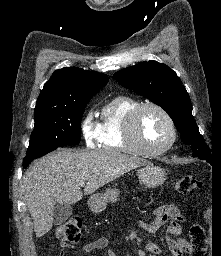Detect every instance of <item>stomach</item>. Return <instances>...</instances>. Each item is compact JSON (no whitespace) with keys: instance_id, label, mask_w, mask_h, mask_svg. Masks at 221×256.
I'll list each match as a JSON object with an SVG mask.
<instances>
[{"instance_id":"0dacf381","label":"stomach","mask_w":221,"mask_h":256,"mask_svg":"<svg viewBox=\"0 0 221 256\" xmlns=\"http://www.w3.org/2000/svg\"><path fill=\"white\" fill-rule=\"evenodd\" d=\"M139 182L147 188H155L166 181V172L159 166L152 163L143 165L137 172ZM119 190L108 188L104 193L94 194L90 197L88 204L93 212L103 211L109 202H115L118 198Z\"/></svg>"}]
</instances>
